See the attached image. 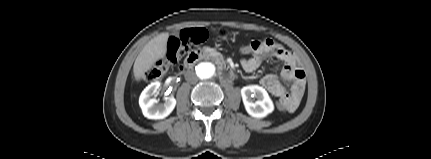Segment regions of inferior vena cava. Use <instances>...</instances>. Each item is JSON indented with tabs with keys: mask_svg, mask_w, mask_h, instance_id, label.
<instances>
[{
	"mask_svg": "<svg viewBox=\"0 0 431 159\" xmlns=\"http://www.w3.org/2000/svg\"><path fill=\"white\" fill-rule=\"evenodd\" d=\"M185 79L190 83H196L198 81V77L193 71L186 72Z\"/></svg>",
	"mask_w": 431,
	"mask_h": 159,
	"instance_id": "inferior-vena-cava-1",
	"label": "inferior vena cava"
}]
</instances>
